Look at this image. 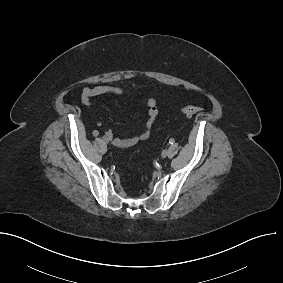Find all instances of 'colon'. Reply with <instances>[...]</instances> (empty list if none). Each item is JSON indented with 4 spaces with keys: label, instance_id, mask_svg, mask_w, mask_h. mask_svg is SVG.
Segmentation results:
<instances>
[{
    "label": "colon",
    "instance_id": "obj_1",
    "mask_svg": "<svg viewBox=\"0 0 283 283\" xmlns=\"http://www.w3.org/2000/svg\"><path fill=\"white\" fill-rule=\"evenodd\" d=\"M182 113L186 116H193L201 111V108L198 106L187 105L181 109Z\"/></svg>",
    "mask_w": 283,
    "mask_h": 283
}]
</instances>
